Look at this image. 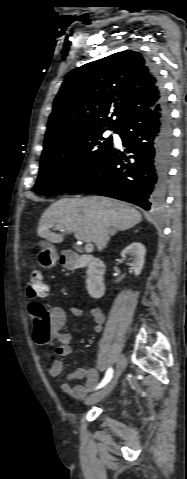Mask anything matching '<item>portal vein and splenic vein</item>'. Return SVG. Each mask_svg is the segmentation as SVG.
I'll return each instance as SVG.
<instances>
[{
	"label": "portal vein and splenic vein",
	"mask_w": 187,
	"mask_h": 479,
	"mask_svg": "<svg viewBox=\"0 0 187 479\" xmlns=\"http://www.w3.org/2000/svg\"><path fill=\"white\" fill-rule=\"evenodd\" d=\"M77 239H81L79 236L75 235ZM93 250V244L91 242H87L85 245V251L86 252H91Z\"/></svg>",
	"instance_id": "portal-vein-and-splenic-vein-1"
}]
</instances>
